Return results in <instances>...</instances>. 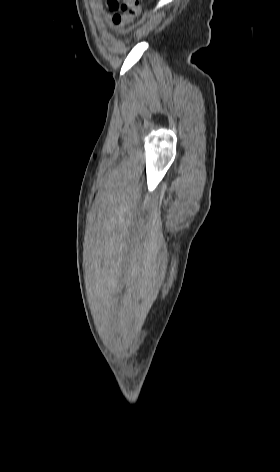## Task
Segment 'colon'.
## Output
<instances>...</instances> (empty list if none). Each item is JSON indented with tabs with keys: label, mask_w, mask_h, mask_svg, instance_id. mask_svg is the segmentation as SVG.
I'll return each mask as SVG.
<instances>
[{
	"label": "colon",
	"mask_w": 280,
	"mask_h": 472,
	"mask_svg": "<svg viewBox=\"0 0 280 472\" xmlns=\"http://www.w3.org/2000/svg\"><path fill=\"white\" fill-rule=\"evenodd\" d=\"M107 5L114 13L113 22L117 25L132 22L141 11L139 0H123L121 6H119L118 0H107ZM119 11H122V14H118Z\"/></svg>",
	"instance_id": "obj_1"
}]
</instances>
